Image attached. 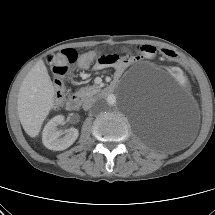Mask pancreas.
<instances>
[{
    "mask_svg": "<svg viewBox=\"0 0 215 215\" xmlns=\"http://www.w3.org/2000/svg\"><path fill=\"white\" fill-rule=\"evenodd\" d=\"M101 89V86L99 85H93V86H87V87H82L79 89V91L76 93L77 96L81 98H87L95 95L98 93Z\"/></svg>",
    "mask_w": 215,
    "mask_h": 215,
    "instance_id": "cf45deb5",
    "label": "pancreas"
}]
</instances>
